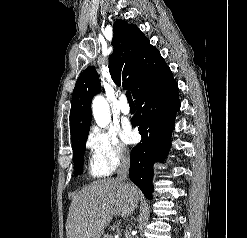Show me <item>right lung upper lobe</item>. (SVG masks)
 I'll return each mask as SVG.
<instances>
[{
	"mask_svg": "<svg viewBox=\"0 0 247 238\" xmlns=\"http://www.w3.org/2000/svg\"><path fill=\"white\" fill-rule=\"evenodd\" d=\"M114 51L109 58V71L115 84L131 90L136 98L168 68L159 51L132 24L117 20L113 26ZM100 80L94 67L85 69L78 78L70 110L72 145L89 133L91 101L100 91Z\"/></svg>",
	"mask_w": 247,
	"mask_h": 238,
	"instance_id": "obj_1",
	"label": "right lung upper lobe"
}]
</instances>
